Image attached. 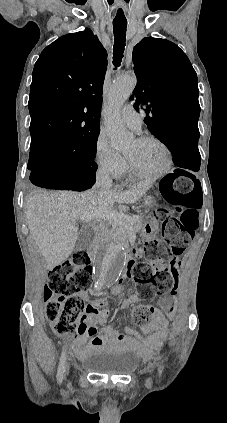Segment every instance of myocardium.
<instances>
[{
	"instance_id": "obj_1",
	"label": "myocardium",
	"mask_w": 227,
	"mask_h": 423,
	"mask_svg": "<svg viewBox=\"0 0 227 423\" xmlns=\"http://www.w3.org/2000/svg\"><path fill=\"white\" fill-rule=\"evenodd\" d=\"M136 141L139 142V143L155 142L158 145H160L166 153V162H165L164 166L156 173H143V172H140L135 167L132 159L126 155V158L128 160V163H129L130 172L133 175H135L139 178H142V179L154 181V180H158V179L164 177L166 174H168L170 172V170L172 169V166L174 164V155H173V152H172L170 146L168 145V143L165 140H163L162 138H160L156 135H143V136H140L139 138H137Z\"/></svg>"
}]
</instances>
